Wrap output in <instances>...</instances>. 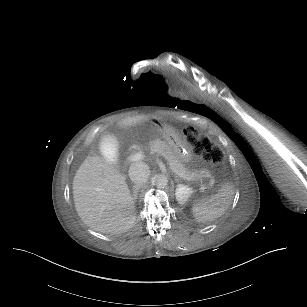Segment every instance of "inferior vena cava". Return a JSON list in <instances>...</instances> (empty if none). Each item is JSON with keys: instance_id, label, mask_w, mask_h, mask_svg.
I'll list each match as a JSON object with an SVG mask.
<instances>
[{"instance_id": "602c4592", "label": "inferior vena cava", "mask_w": 307, "mask_h": 307, "mask_svg": "<svg viewBox=\"0 0 307 307\" xmlns=\"http://www.w3.org/2000/svg\"><path fill=\"white\" fill-rule=\"evenodd\" d=\"M150 176V170L145 163H133L129 168V178L137 185L146 183Z\"/></svg>"}]
</instances>
